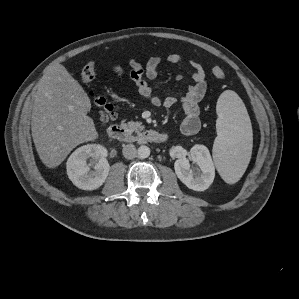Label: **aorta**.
Returning <instances> with one entry per match:
<instances>
[{"mask_svg":"<svg viewBox=\"0 0 299 299\" xmlns=\"http://www.w3.org/2000/svg\"><path fill=\"white\" fill-rule=\"evenodd\" d=\"M138 157L141 159H145L150 155V148L146 145H142L137 150Z\"/></svg>","mask_w":299,"mask_h":299,"instance_id":"1","label":"aorta"}]
</instances>
